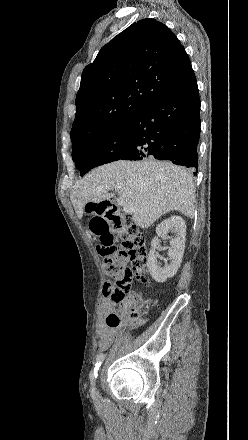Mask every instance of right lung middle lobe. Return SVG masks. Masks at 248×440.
I'll use <instances>...</instances> for the list:
<instances>
[{
	"instance_id": "right-lung-middle-lobe-1",
	"label": "right lung middle lobe",
	"mask_w": 248,
	"mask_h": 440,
	"mask_svg": "<svg viewBox=\"0 0 248 440\" xmlns=\"http://www.w3.org/2000/svg\"><path fill=\"white\" fill-rule=\"evenodd\" d=\"M131 124L126 122L97 138L72 146V159L81 176L90 169L118 160L128 149Z\"/></svg>"
}]
</instances>
